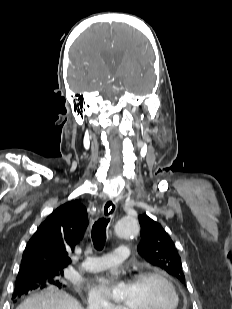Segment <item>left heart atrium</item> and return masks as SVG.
<instances>
[{"instance_id": "left-heart-atrium-1", "label": "left heart atrium", "mask_w": 232, "mask_h": 309, "mask_svg": "<svg viewBox=\"0 0 232 309\" xmlns=\"http://www.w3.org/2000/svg\"><path fill=\"white\" fill-rule=\"evenodd\" d=\"M114 282L115 277L103 276L97 279L99 289L105 292L110 290Z\"/></svg>"}]
</instances>
